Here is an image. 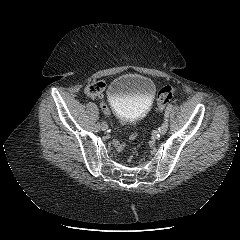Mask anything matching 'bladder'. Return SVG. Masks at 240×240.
Segmentation results:
<instances>
[{"label":"bladder","mask_w":240,"mask_h":240,"mask_svg":"<svg viewBox=\"0 0 240 240\" xmlns=\"http://www.w3.org/2000/svg\"><path fill=\"white\" fill-rule=\"evenodd\" d=\"M155 92L156 85L149 77L128 73L111 82L107 96L121 120L134 122L149 111Z\"/></svg>","instance_id":"obj_1"}]
</instances>
